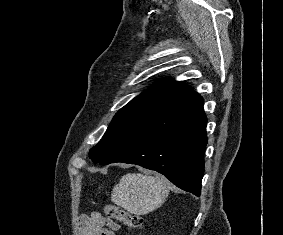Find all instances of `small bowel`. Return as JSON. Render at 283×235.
I'll return each instance as SVG.
<instances>
[{"instance_id": "small-bowel-1", "label": "small bowel", "mask_w": 283, "mask_h": 235, "mask_svg": "<svg viewBox=\"0 0 283 235\" xmlns=\"http://www.w3.org/2000/svg\"><path fill=\"white\" fill-rule=\"evenodd\" d=\"M79 222L83 229V235H115V232L120 229L118 223L106 219L97 212L87 217H81Z\"/></svg>"}]
</instances>
